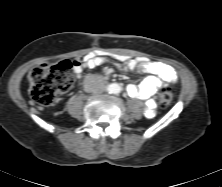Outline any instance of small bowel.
I'll use <instances>...</instances> for the list:
<instances>
[{"label": "small bowel", "mask_w": 222, "mask_h": 187, "mask_svg": "<svg viewBox=\"0 0 222 187\" xmlns=\"http://www.w3.org/2000/svg\"><path fill=\"white\" fill-rule=\"evenodd\" d=\"M102 65H113L123 72L150 75L139 85L130 84L127 87L129 96L146 102L145 113L148 117L155 115V101L153 97L156 92L163 88L166 83L178 81L175 69L166 63L151 61L146 58H131L119 54L89 53L80 62L76 63L74 71L77 75H80L84 67L95 68Z\"/></svg>", "instance_id": "obj_1"}]
</instances>
